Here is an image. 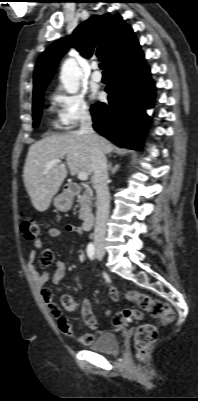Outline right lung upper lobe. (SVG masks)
Masks as SVG:
<instances>
[{
	"label": "right lung upper lobe",
	"mask_w": 198,
	"mask_h": 401,
	"mask_svg": "<svg viewBox=\"0 0 198 401\" xmlns=\"http://www.w3.org/2000/svg\"><path fill=\"white\" fill-rule=\"evenodd\" d=\"M71 37V40L55 41L39 56L34 71L33 97L44 92L71 43L86 58L97 55L107 69L138 45L133 30L120 15H94L80 24Z\"/></svg>",
	"instance_id": "obj_1"
}]
</instances>
